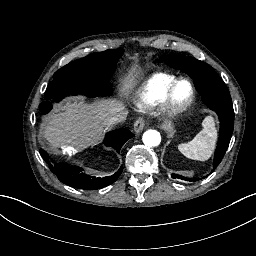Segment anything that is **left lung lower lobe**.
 Here are the masks:
<instances>
[{
  "instance_id": "left-lung-lower-lobe-1",
  "label": "left lung lower lobe",
  "mask_w": 256,
  "mask_h": 256,
  "mask_svg": "<svg viewBox=\"0 0 256 256\" xmlns=\"http://www.w3.org/2000/svg\"><path fill=\"white\" fill-rule=\"evenodd\" d=\"M172 177L173 178H179V179H182V180H185V181H193V182H195V181H198V180H200V179H190V178H185V177H183V176H180V175H176V174H172ZM205 178V177H204Z\"/></svg>"
}]
</instances>
